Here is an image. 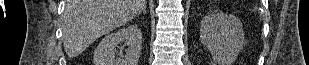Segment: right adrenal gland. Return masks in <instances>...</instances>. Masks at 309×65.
Segmentation results:
<instances>
[{
	"label": "right adrenal gland",
	"mask_w": 309,
	"mask_h": 65,
	"mask_svg": "<svg viewBox=\"0 0 309 65\" xmlns=\"http://www.w3.org/2000/svg\"><path fill=\"white\" fill-rule=\"evenodd\" d=\"M142 13L146 15V7L143 8Z\"/></svg>",
	"instance_id": "obj_1"
}]
</instances>
